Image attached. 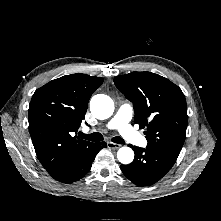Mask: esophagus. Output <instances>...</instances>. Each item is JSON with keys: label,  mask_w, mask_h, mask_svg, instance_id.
Returning a JSON list of instances; mask_svg holds the SVG:
<instances>
[{"label": "esophagus", "mask_w": 221, "mask_h": 221, "mask_svg": "<svg viewBox=\"0 0 221 221\" xmlns=\"http://www.w3.org/2000/svg\"><path fill=\"white\" fill-rule=\"evenodd\" d=\"M107 147L109 149H118L121 147L120 144H116V143H113V142H107Z\"/></svg>", "instance_id": "34e87169"}]
</instances>
